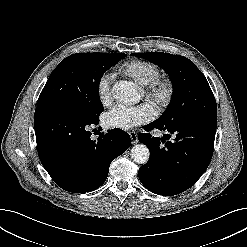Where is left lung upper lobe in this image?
<instances>
[{
	"label": "left lung upper lobe",
	"instance_id": "left-lung-upper-lobe-1",
	"mask_svg": "<svg viewBox=\"0 0 247 247\" xmlns=\"http://www.w3.org/2000/svg\"><path fill=\"white\" fill-rule=\"evenodd\" d=\"M160 66L174 85L170 105L156 120L170 126L183 121L217 122V106L212 90L197 66L188 58L163 52L132 53Z\"/></svg>",
	"mask_w": 247,
	"mask_h": 247
}]
</instances>
